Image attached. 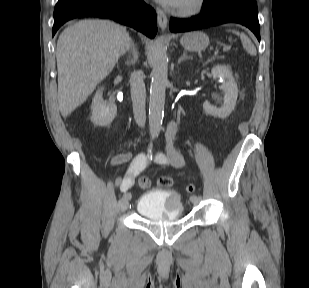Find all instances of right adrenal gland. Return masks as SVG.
<instances>
[{
    "instance_id": "right-adrenal-gland-1",
    "label": "right adrenal gland",
    "mask_w": 309,
    "mask_h": 288,
    "mask_svg": "<svg viewBox=\"0 0 309 288\" xmlns=\"http://www.w3.org/2000/svg\"><path fill=\"white\" fill-rule=\"evenodd\" d=\"M132 51H133V59L129 60L126 62V65L132 64L134 63V61L137 59L138 57V53H137V49L134 47V45L132 44Z\"/></svg>"
}]
</instances>
